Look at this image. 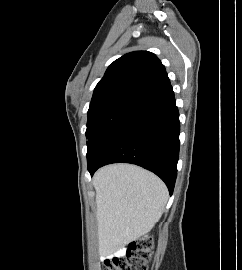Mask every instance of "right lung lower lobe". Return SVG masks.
<instances>
[{"label": "right lung lower lobe", "mask_w": 242, "mask_h": 270, "mask_svg": "<svg viewBox=\"0 0 242 270\" xmlns=\"http://www.w3.org/2000/svg\"><path fill=\"white\" fill-rule=\"evenodd\" d=\"M180 122L170 86L138 104L96 157L88 162L93 173L101 166L126 162L158 175L172 194L177 176Z\"/></svg>", "instance_id": "98d812e1"}]
</instances>
